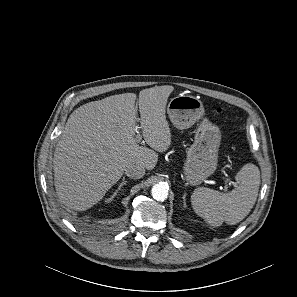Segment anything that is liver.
<instances>
[{"instance_id":"obj_1","label":"liver","mask_w":297,"mask_h":297,"mask_svg":"<svg viewBox=\"0 0 297 297\" xmlns=\"http://www.w3.org/2000/svg\"><path fill=\"white\" fill-rule=\"evenodd\" d=\"M173 90L170 85L141 90L140 119L134 93L109 96L76 109L54 152L55 188L60 202L74 210H87L105 196L127 166L152 170L158 161L157 152H165L171 145L165 108ZM139 128L151 149L135 141Z\"/></svg>"}]
</instances>
